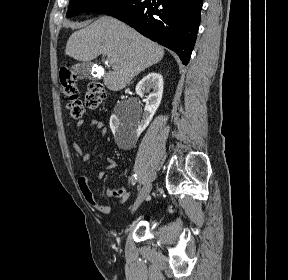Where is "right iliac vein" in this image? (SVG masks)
Returning <instances> with one entry per match:
<instances>
[{
    "instance_id": "63e3f726",
    "label": "right iliac vein",
    "mask_w": 288,
    "mask_h": 280,
    "mask_svg": "<svg viewBox=\"0 0 288 280\" xmlns=\"http://www.w3.org/2000/svg\"><path fill=\"white\" fill-rule=\"evenodd\" d=\"M152 185L151 183H146L143 185V187L140 189L138 196L133 204L132 207V213H134L139 206L141 205V203L145 200V198L149 195L150 191H151Z\"/></svg>"
}]
</instances>
